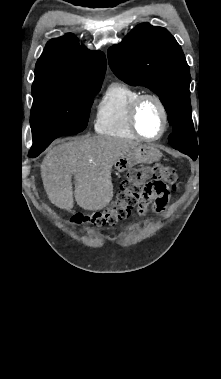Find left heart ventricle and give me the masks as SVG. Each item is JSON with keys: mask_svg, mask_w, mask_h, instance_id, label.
<instances>
[{"mask_svg": "<svg viewBox=\"0 0 221 379\" xmlns=\"http://www.w3.org/2000/svg\"><path fill=\"white\" fill-rule=\"evenodd\" d=\"M137 122L140 131L147 137H154L160 133L162 114L156 102L147 100L141 105Z\"/></svg>", "mask_w": 221, "mask_h": 379, "instance_id": "left-heart-ventricle-1", "label": "left heart ventricle"}]
</instances>
